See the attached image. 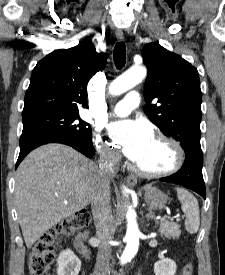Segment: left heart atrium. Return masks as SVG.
Returning <instances> with one entry per match:
<instances>
[{
    "label": "left heart atrium",
    "instance_id": "left-heart-atrium-1",
    "mask_svg": "<svg viewBox=\"0 0 225 275\" xmlns=\"http://www.w3.org/2000/svg\"><path fill=\"white\" fill-rule=\"evenodd\" d=\"M112 139L121 147L124 155L137 162L152 141L151 128L141 120H118L108 126Z\"/></svg>",
    "mask_w": 225,
    "mask_h": 275
}]
</instances>
